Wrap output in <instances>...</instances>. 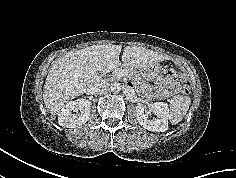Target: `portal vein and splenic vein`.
Segmentation results:
<instances>
[{
    "label": "portal vein and splenic vein",
    "instance_id": "obj_1",
    "mask_svg": "<svg viewBox=\"0 0 236 178\" xmlns=\"http://www.w3.org/2000/svg\"><path fill=\"white\" fill-rule=\"evenodd\" d=\"M119 77H122V76H127L128 74H127V72L125 71V70H121V71H119Z\"/></svg>",
    "mask_w": 236,
    "mask_h": 178
}]
</instances>
